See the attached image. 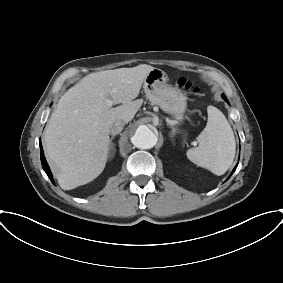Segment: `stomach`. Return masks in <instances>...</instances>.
<instances>
[{
  "instance_id": "0dacf381",
  "label": "stomach",
  "mask_w": 283,
  "mask_h": 283,
  "mask_svg": "<svg viewBox=\"0 0 283 283\" xmlns=\"http://www.w3.org/2000/svg\"><path fill=\"white\" fill-rule=\"evenodd\" d=\"M167 80V74L163 70L154 68L144 79L143 89L150 102L180 119L186 110L187 98L180 90L167 84Z\"/></svg>"
}]
</instances>
